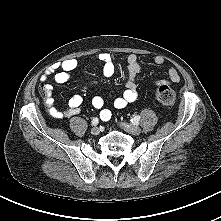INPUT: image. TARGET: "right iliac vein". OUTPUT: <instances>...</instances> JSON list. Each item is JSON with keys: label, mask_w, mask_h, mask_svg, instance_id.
<instances>
[{"label": "right iliac vein", "mask_w": 221, "mask_h": 221, "mask_svg": "<svg viewBox=\"0 0 221 221\" xmlns=\"http://www.w3.org/2000/svg\"><path fill=\"white\" fill-rule=\"evenodd\" d=\"M99 133H100V130H99L98 127H93V128L91 129V134H93V135H98Z\"/></svg>", "instance_id": "63e3f726"}]
</instances>
